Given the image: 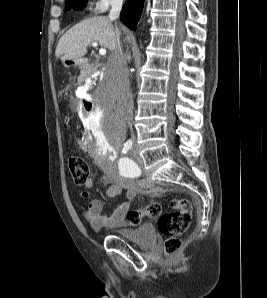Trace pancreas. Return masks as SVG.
<instances>
[{"label": "pancreas", "instance_id": "cf45deb5", "mask_svg": "<svg viewBox=\"0 0 267 298\" xmlns=\"http://www.w3.org/2000/svg\"><path fill=\"white\" fill-rule=\"evenodd\" d=\"M97 69H98V66H89V68L86 70V71H83L82 72V75H81V79H87V78H89V77H91V75L93 74V73H95L96 71H97Z\"/></svg>", "mask_w": 267, "mask_h": 298}]
</instances>
